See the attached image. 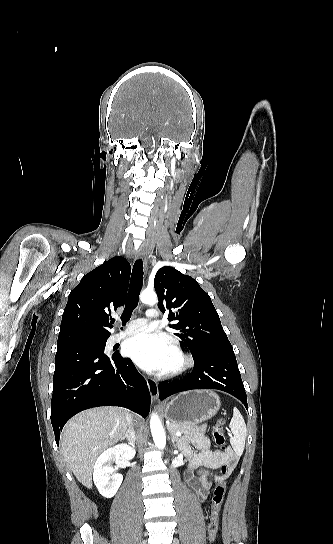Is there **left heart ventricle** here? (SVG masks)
Masks as SVG:
<instances>
[{
  "label": "left heart ventricle",
  "instance_id": "1",
  "mask_svg": "<svg viewBox=\"0 0 333 544\" xmlns=\"http://www.w3.org/2000/svg\"><path fill=\"white\" fill-rule=\"evenodd\" d=\"M176 364H177V358L175 357V355L172 352L171 356H170V359H169V362H168L167 367H166L165 370H168V369L172 368Z\"/></svg>",
  "mask_w": 333,
  "mask_h": 544
}]
</instances>
